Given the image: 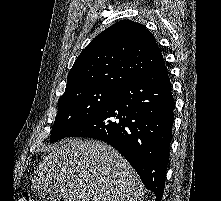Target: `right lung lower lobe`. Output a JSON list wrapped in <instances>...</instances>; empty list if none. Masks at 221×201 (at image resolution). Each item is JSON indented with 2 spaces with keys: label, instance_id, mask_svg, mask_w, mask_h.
<instances>
[{
  "label": "right lung lower lobe",
  "instance_id": "right-lung-lower-lobe-1",
  "mask_svg": "<svg viewBox=\"0 0 221 201\" xmlns=\"http://www.w3.org/2000/svg\"><path fill=\"white\" fill-rule=\"evenodd\" d=\"M174 98L164 63L121 87L68 137L100 139L116 148L161 201L172 139Z\"/></svg>",
  "mask_w": 221,
  "mask_h": 201
}]
</instances>
